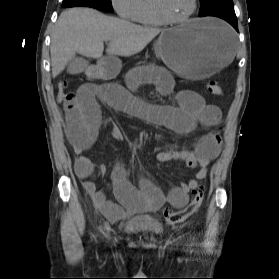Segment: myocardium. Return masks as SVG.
<instances>
[{"instance_id":"1","label":"myocardium","mask_w":279,"mask_h":279,"mask_svg":"<svg viewBox=\"0 0 279 279\" xmlns=\"http://www.w3.org/2000/svg\"><path fill=\"white\" fill-rule=\"evenodd\" d=\"M192 2V7L186 15L180 18H173L167 13L164 6V0H153L154 8L157 15L164 23L167 24H181L190 20L196 13L198 7V0H192Z\"/></svg>"}]
</instances>
